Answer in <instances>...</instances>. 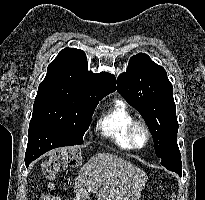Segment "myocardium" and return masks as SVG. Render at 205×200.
<instances>
[{
    "label": "myocardium",
    "mask_w": 205,
    "mask_h": 200,
    "mask_svg": "<svg viewBox=\"0 0 205 200\" xmlns=\"http://www.w3.org/2000/svg\"><path fill=\"white\" fill-rule=\"evenodd\" d=\"M138 128H142L145 131V134H146V143L143 146H139L135 142V131ZM127 137H128L129 143L132 146V148H134V149H143V148L147 147L148 144L151 141V131H150V128H149V126L146 122H144L143 120H136L135 119L129 125V127L127 129Z\"/></svg>",
    "instance_id": "myocardium-1"
}]
</instances>
